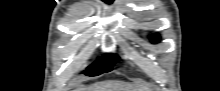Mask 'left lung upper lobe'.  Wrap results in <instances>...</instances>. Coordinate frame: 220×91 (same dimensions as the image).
Returning a JSON list of instances; mask_svg holds the SVG:
<instances>
[{
  "label": "left lung upper lobe",
  "mask_w": 220,
  "mask_h": 91,
  "mask_svg": "<svg viewBox=\"0 0 220 91\" xmlns=\"http://www.w3.org/2000/svg\"><path fill=\"white\" fill-rule=\"evenodd\" d=\"M151 40L153 41V42H155V41H157L158 40V35H152L151 36Z\"/></svg>",
  "instance_id": "5c2ea615"
}]
</instances>
